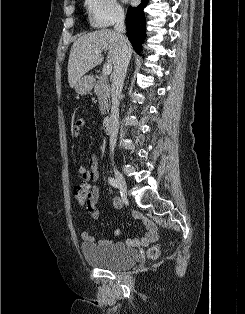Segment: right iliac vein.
I'll list each match as a JSON object with an SVG mask.
<instances>
[{"label":"right iliac vein","mask_w":245,"mask_h":314,"mask_svg":"<svg viewBox=\"0 0 245 314\" xmlns=\"http://www.w3.org/2000/svg\"><path fill=\"white\" fill-rule=\"evenodd\" d=\"M114 174H115L116 181L118 182V185L120 187L122 194L124 196H127V184H126L125 178L116 168H114Z\"/></svg>","instance_id":"obj_1"}]
</instances>
